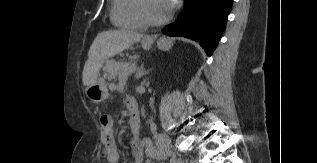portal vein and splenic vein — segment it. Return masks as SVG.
Instances as JSON below:
<instances>
[{
    "instance_id": "1",
    "label": "portal vein and splenic vein",
    "mask_w": 317,
    "mask_h": 163,
    "mask_svg": "<svg viewBox=\"0 0 317 163\" xmlns=\"http://www.w3.org/2000/svg\"><path fill=\"white\" fill-rule=\"evenodd\" d=\"M135 70V66L123 71L121 74H120V77H123V76H127L129 75L130 73H132L133 71Z\"/></svg>"
}]
</instances>
